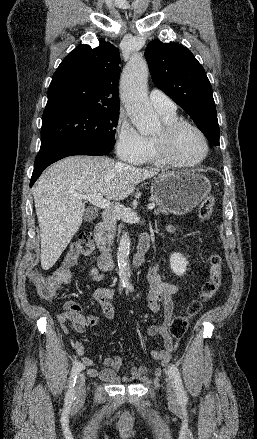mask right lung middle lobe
<instances>
[{
    "instance_id": "1",
    "label": "right lung middle lobe",
    "mask_w": 257,
    "mask_h": 439,
    "mask_svg": "<svg viewBox=\"0 0 257 439\" xmlns=\"http://www.w3.org/2000/svg\"><path fill=\"white\" fill-rule=\"evenodd\" d=\"M118 117L119 109L85 108L43 118L41 148L67 141L114 147Z\"/></svg>"
}]
</instances>
